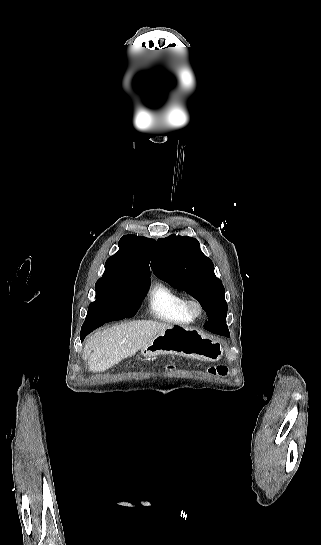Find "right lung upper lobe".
<instances>
[{"label": "right lung upper lobe", "mask_w": 321, "mask_h": 545, "mask_svg": "<svg viewBox=\"0 0 321 545\" xmlns=\"http://www.w3.org/2000/svg\"><path fill=\"white\" fill-rule=\"evenodd\" d=\"M155 240L137 235H124L119 251L108 258L102 279L119 287L150 286L149 262Z\"/></svg>", "instance_id": "cb5924a9"}]
</instances>
